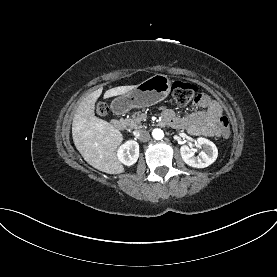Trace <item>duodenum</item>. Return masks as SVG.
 Wrapping results in <instances>:
<instances>
[{"label": "duodenum", "instance_id": "duodenum-1", "mask_svg": "<svg viewBox=\"0 0 277 277\" xmlns=\"http://www.w3.org/2000/svg\"><path fill=\"white\" fill-rule=\"evenodd\" d=\"M115 111L117 113H121L122 112V109L119 107V108H116ZM112 126L116 129H121L124 127V121L121 120V119H114L112 122H111Z\"/></svg>", "mask_w": 277, "mask_h": 277}]
</instances>
